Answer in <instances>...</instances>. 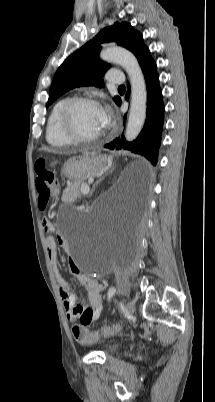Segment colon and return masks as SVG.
Returning <instances> with one entry per match:
<instances>
[{"label":"colon","instance_id":"1","mask_svg":"<svg viewBox=\"0 0 215 402\" xmlns=\"http://www.w3.org/2000/svg\"><path fill=\"white\" fill-rule=\"evenodd\" d=\"M36 189L39 193V206L44 209L50 201H52L58 192L59 183L53 171L47 168L43 159H39L35 163ZM50 219L44 218L43 224L47 228L50 224ZM91 311L88 310L83 321H86L90 316ZM120 331L118 324L103 326L100 330L89 331L84 327V324H75L72 328L74 338L83 344L96 342L101 337H110Z\"/></svg>","mask_w":215,"mask_h":402}]
</instances>
